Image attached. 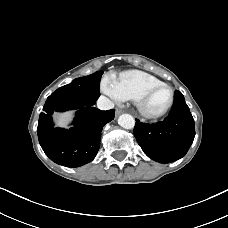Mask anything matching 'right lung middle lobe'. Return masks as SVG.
I'll return each instance as SVG.
<instances>
[{"instance_id":"right-lung-middle-lobe-1","label":"right lung middle lobe","mask_w":228,"mask_h":228,"mask_svg":"<svg viewBox=\"0 0 228 228\" xmlns=\"http://www.w3.org/2000/svg\"><path fill=\"white\" fill-rule=\"evenodd\" d=\"M103 71L74 79L70 84L58 88L52 95L76 100L85 105H93L100 96L99 84Z\"/></svg>"}]
</instances>
